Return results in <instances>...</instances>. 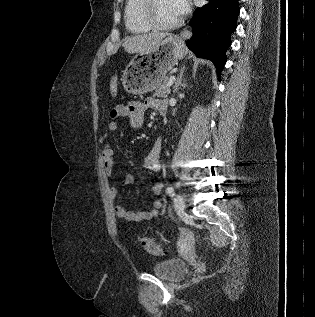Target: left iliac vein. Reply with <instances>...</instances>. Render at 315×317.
Listing matches in <instances>:
<instances>
[{
	"instance_id": "obj_1",
	"label": "left iliac vein",
	"mask_w": 315,
	"mask_h": 317,
	"mask_svg": "<svg viewBox=\"0 0 315 317\" xmlns=\"http://www.w3.org/2000/svg\"><path fill=\"white\" fill-rule=\"evenodd\" d=\"M174 207L177 211H183L185 207L184 199L182 196L177 195L174 199Z\"/></svg>"
}]
</instances>
